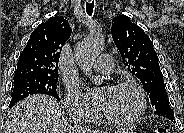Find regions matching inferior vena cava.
Listing matches in <instances>:
<instances>
[{
    "mask_svg": "<svg viewBox=\"0 0 184 133\" xmlns=\"http://www.w3.org/2000/svg\"><path fill=\"white\" fill-rule=\"evenodd\" d=\"M72 118L74 121V127L73 129L75 130V132L77 133H87L88 130L86 127H84L83 123L81 122V111H74V113L72 114Z\"/></svg>",
    "mask_w": 184,
    "mask_h": 133,
    "instance_id": "obj_1",
    "label": "inferior vena cava"
}]
</instances>
